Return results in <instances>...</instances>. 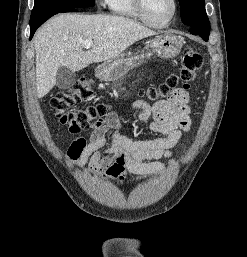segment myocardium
<instances>
[{
	"instance_id": "myocardium-1",
	"label": "myocardium",
	"mask_w": 247,
	"mask_h": 257,
	"mask_svg": "<svg viewBox=\"0 0 247 257\" xmlns=\"http://www.w3.org/2000/svg\"><path fill=\"white\" fill-rule=\"evenodd\" d=\"M134 6L139 13L141 19L149 26L154 27V28H165L169 26L174 18L176 17L177 11H178V1L177 0H172L173 2V12L170 16V18L164 22V23H156L154 22L147 14L146 8H145V1L144 0H133Z\"/></svg>"
}]
</instances>
